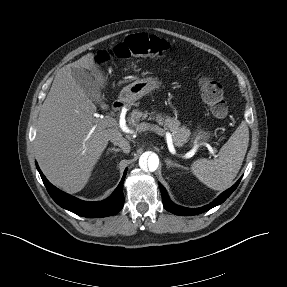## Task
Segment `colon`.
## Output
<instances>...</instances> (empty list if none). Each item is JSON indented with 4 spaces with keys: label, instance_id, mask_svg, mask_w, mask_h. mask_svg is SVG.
<instances>
[{
    "label": "colon",
    "instance_id": "1",
    "mask_svg": "<svg viewBox=\"0 0 287 287\" xmlns=\"http://www.w3.org/2000/svg\"><path fill=\"white\" fill-rule=\"evenodd\" d=\"M169 49V43L155 35L136 33L126 37L111 49L101 51L98 55L100 62L111 58L128 59L131 57L161 56ZM202 97L211 112L217 117L227 113L222 85L211 76H204L200 80Z\"/></svg>",
    "mask_w": 287,
    "mask_h": 287
}]
</instances>
